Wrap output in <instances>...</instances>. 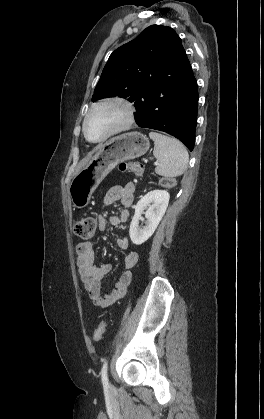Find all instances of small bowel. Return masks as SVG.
I'll return each mask as SVG.
<instances>
[{
  "label": "small bowel",
  "instance_id": "c3829d8e",
  "mask_svg": "<svg viewBox=\"0 0 264 419\" xmlns=\"http://www.w3.org/2000/svg\"><path fill=\"white\" fill-rule=\"evenodd\" d=\"M135 190V184L129 182L125 185H115L107 191L104 197V203L108 205L119 201L122 210L118 215H112L109 218L99 217V230L105 231L110 226H118L129 219L128 209L133 204ZM117 244L123 250L129 248V241L126 237L118 238ZM76 255L80 280L95 306L105 308L125 296L132 280V269L139 259L136 251L131 250L126 254L122 272L115 283L114 289L105 295L101 293V282L110 273L111 266L109 264H101L99 266L95 264L93 244L90 241L78 243L76 246Z\"/></svg>",
  "mask_w": 264,
  "mask_h": 419
}]
</instances>
